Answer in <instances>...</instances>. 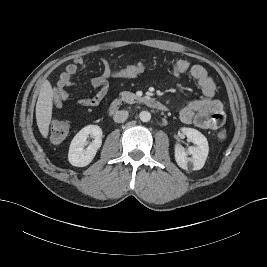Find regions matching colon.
I'll return each instance as SVG.
<instances>
[{
    "instance_id": "colon-1",
    "label": "colon",
    "mask_w": 267,
    "mask_h": 267,
    "mask_svg": "<svg viewBox=\"0 0 267 267\" xmlns=\"http://www.w3.org/2000/svg\"><path fill=\"white\" fill-rule=\"evenodd\" d=\"M190 68V62L187 60L175 61L171 70L174 74L181 75L188 71ZM154 67L144 62H138L125 65L115 71H112L110 79H122V78H134L142 73L152 71ZM69 124L66 121L55 120L51 123L49 129V136L52 142L59 143L63 141L69 133ZM227 137L226 130H220L217 134V138L220 141L225 140Z\"/></svg>"
}]
</instances>
